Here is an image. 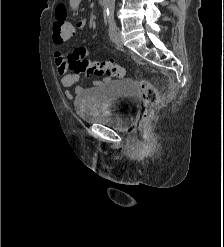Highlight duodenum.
Masks as SVG:
<instances>
[{"mask_svg": "<svg viewBox=\"0 0 224 247\" xmlns=\"http://www.w3.org/2000/svg\"><path fill=\"white\" fill-rule=\"evenodd\" d=\"M106 4V0H99V6L104 7Z\"/></svg>", "mask_w": 224, "mask_h": 247, "instance_id": "410a0bca", "label": "duodenum"}]
</instances>
